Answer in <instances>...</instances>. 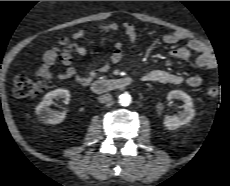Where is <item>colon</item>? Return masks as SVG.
<instances>
[{
    "instance_id": "obj_1",
    "label": "colon",
    "mask_w": 230,
    "mask_h": 186,
    "mask_svg": "<svg viewBox=\"0 0 230 186\" xmlns=\"http://www.w3.org/2000/svg\"><path fill=\"white\" fill-rule=\"evenodd\" d=\"M61 54L63 57H68L76 49V44L69 38H63L60 42ZM43 81H36L25 75H18L14 79L13 94L16 98L24 99L36 96L44 89ZM220 88L216 83H209L206 88V93L210 97H215L219 94Z\"/></svg>"
}]
</instances>
